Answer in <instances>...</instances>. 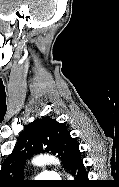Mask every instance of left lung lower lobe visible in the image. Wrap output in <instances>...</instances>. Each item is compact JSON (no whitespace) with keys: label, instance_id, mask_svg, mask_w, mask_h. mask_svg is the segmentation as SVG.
Instances as JSON below:
<instances>
[{"label":"left lung lower lobe","instance_id":"1","mask_svg":"<svg viewBox=\"0 0 119 187\" xmlns=\"http://www.w3.org/2000/svg\"><path fill=\"white\" fill-rule=\"evenodd\" d=\"M68 171H71L73 176L76 177L75 182H85L87 180V172L83 164L81 153L78 144L74 145L71 150L68 163Z\"/></svg>","mask_w":119,"mask_h":187}]
</instances>
